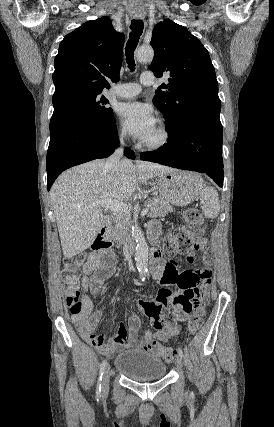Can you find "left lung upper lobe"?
<instances>
[{
  "instance_id": "1",
  "label": "left lung upper lobe",
  "mask_w": 274,
  "mask_h": 427,
  "mask_svg": "<svg viewBox=\"0 0 274 427\" xmlns=\"http://www.w3.org/2000/svg\"><path fill=\"white\" fill-rule=\"evenodd\" d=\"M150 44L155 53L149 69L156 77L169 76L168 84H162L153 98L164 115L169 136L198 118L220 120L218 82L203 44L168 19L154 27Z\"/></svg>"
}]
</instances>
